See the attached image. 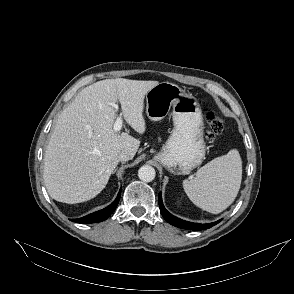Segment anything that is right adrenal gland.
Segmentation results:
<instances>
[{"label":"right adrenal gland","instance_id":"obj_1","mask_svg":"<svg viewBox=\"0 0 294 294\" xmlns=\"http://www.w3.org/2000/svg\"><path fill=\"white\" fill-rule=\"evenodd\" d=\"M116 170H117V169H115V170L113 171V174L116 172Z\"/></svg>","mask_w":294,"mask_h":294}]
</instances>
